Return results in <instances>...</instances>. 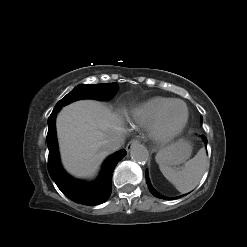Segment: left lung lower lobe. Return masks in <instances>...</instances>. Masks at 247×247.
I'll return each instance as SVG.
<instances>
[{
    "mask_svg": "<svg viewBox=\"0 0 247 247\" xmlns=\"http://www.w3.org/2000/svg\"><path fill=\"white\" fill-rule=\"evenodd\" d=\"M203 139H204V141L206 142V145H207V139H206V137L203 136ZM146 183H147V185H148V188H149L150 192H151L155 197L160 198V199H166V200L171 199V198H168V197H165V196L159 194V193L152 187V185H151V183H150V180H149V178H148V175H147V171H146ZM176 198H178V197H176ZM176 198H172V199H176Z\"/></svg>",
    "mask_w": 247,
    "mask_h": 247,
    "instance_id": "0a47b994",
    "label": "left lung lower lobe"
}]
</instances>
